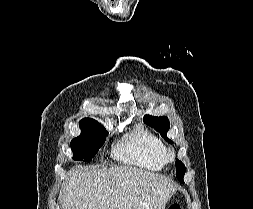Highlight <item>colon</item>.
<instances>
[{"instance_id": "5ec220e1", "label": "colon", "mask_w": 253, "mask_h": 209, "mask_svg": "<svg viewBox=\"0 0 253 209\" xmlns=\"http://www.w3.org/2000/svg\"><path fill=\"white\" fill-rule=\"evenodd\" d=\"M168 209H181V207L178 204H171Z\"/></svg>"}]
</instances>
